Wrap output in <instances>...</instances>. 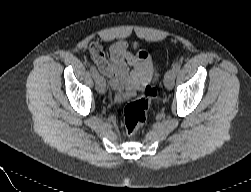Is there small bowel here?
Returning a JSON list of instances; mask_svg holds the SVG:
<instances>
[{"mask_svg": "<svg viewBox=\"0 0 251 192\" xmlns=\"http://www.w3.org/2000/svg\"><path fill=\"white\" fill-rule=\"evenodd\" d=\"M90 54L99 71L110 79L115 89L132 93L151 80L153 68L149 53L140 50L133 54L124 41L115 42L108 54L99 44L92 43Z\"/></svg>", "mask_w": 251, "mask_h": 192, "instance_id": "c3829d8e", "label": "small bowel"}]
</instances>
